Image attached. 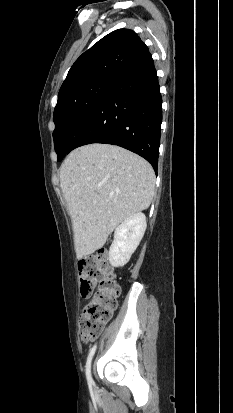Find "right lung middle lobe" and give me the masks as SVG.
<instances>
[{
  "mask_svg": "<svg viewBox=\"0 0 233 413\" xmlns=\"http://www.w3.org/2000/svg\"><path fill=\"white\" fill-rule=\"evenodd\" d=\"M115 80V77L96 78L58 98L53 115V138L58 161L67 154L77 134Z\"/></svg>",
  "mask_w": 233,
  "mask_h": 413,
  "instance_id": "right-lung-middle-lobe-1",
  "label": "right lung middle lobe"
}]
</instances>
